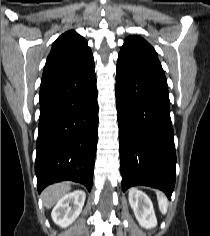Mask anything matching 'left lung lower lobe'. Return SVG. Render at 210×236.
Here are the masks:
<instances>
[{"instance_id":"obj_1","label":"left lung lower lobe","mask_w":210,"mask_h":236,"mask_svg":"<svg viewBox=\"0 0 210 236\" xmlns=\"http://www.w3.org/2000/svg\"><path fill=\"white\" fill-rule=\"evenodd\" d=\"M116 105L123 191L146 185L170 199L176 153L165 75L117 63Z\"/></svg>"}]
</instances>
